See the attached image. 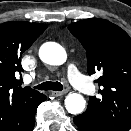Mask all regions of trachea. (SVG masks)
I'll use <instances>...</instances> for the list:
<instances>
[{
  "mask_svg": "<svg viewBox=\"0 0 131 131\" xmlns=\"http://www.w3.org/2000/svg\"><path fill=\"white\" fill-rule=\"evenodd\" d=\"M34 88L38 89V90H54V91H62L63 90V85L60 82H51V81H47V82H43L37 86H35Z\"/></svg>",
  "mask_w": 131,
  "mask_h": 131,
  "instance_id": "3493384b",
  "label": "trachea"
}]
</instances>
